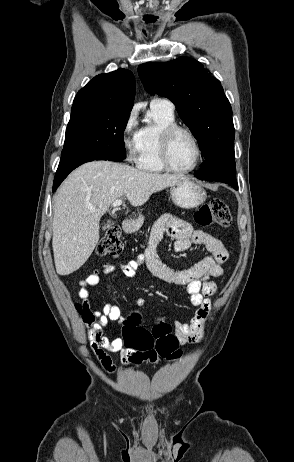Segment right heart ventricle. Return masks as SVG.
Returning <instances> with one entry per match:
<instances>
[{
    "instance_id": "right-heart-ventricle-1",
    "label": "right heart ventricle",
    "mask_w": 294,
    "mask_h": 462,
    "mask_svg": "<svg viewBox=\"0 0 294 462\" xmlns=\"http://www.w3.org/2000/svg\"><path fill=\"white\" fill-rule=\"evenodd\" d=\"M146 122L137 132V167L149 173L165 171L160 160V135L164 128L176 124L174 111L160 106H150Z\"/></svg>"
}]
</instances>
